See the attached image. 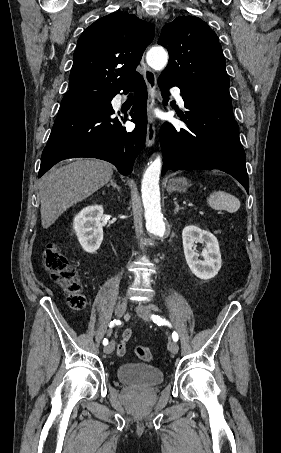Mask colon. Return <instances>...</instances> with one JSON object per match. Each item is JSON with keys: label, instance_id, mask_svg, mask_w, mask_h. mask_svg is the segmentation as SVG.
Here are the masks:
<instances>
[{"label": "colon", "instance_id": "obj_1", "mask_svg": "<svg viewBox=\"0 0 281 453\" xmlns=\"http://www.w3.org/2000/svg\"><path fill=\"white\" fill-rule=\"evenodd\" d=\"M44 267L51 278L61 284L69 297V303L75 311L85 309V298L82 294V285L78 278L77 268L69 264L67 256L55 244L46 243L43 246ZM137 356L142 362H153L154 354L146 348H138Z\"/></svg>", "mask_w": 281, "mask_h": 453}]
</instances>
